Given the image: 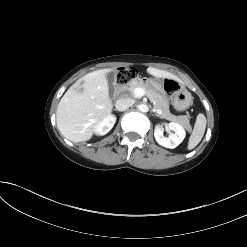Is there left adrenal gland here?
<instances>
[{"instance_id":"a2214340","label":"left adrenal gland","mask_w":247,"mask_h":247,"mask_svg":"<svg viewBox=\"0 0 247 247\" xmlns=\"http://www.w3.org/2000/svg\"><path fill=\"white\" fill-rule=\"evenodd\" d=\"M153 112H155V110H153ZM155 116L160 117V115H158L157 113H155Z\"/></svg>"}]
</instances>
